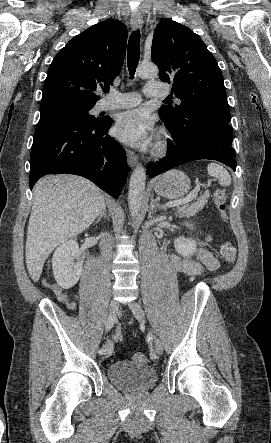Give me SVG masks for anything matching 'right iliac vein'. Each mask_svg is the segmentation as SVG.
Here are the masks:
<instances>
[{"label": "right iliac vein", "mask_w": 271, "mask_h": 443, "mask_svg": "<svg viewBox=\"0 0 271 443\" xmlns=\"http://www.w3.org/2000/svg\"><path fill=\"white\" fill-rule=\"evenodd\" d=\"M118 308H119V303L116 300H112L109 305L110 315H115L118 311ZM112 351H113V343L110 340H108L107 343L105 344V350H104L105 357H109L112 354Z\"/></svg>", "instance_id": "right-iliac-vein-1"}]
</instances>
